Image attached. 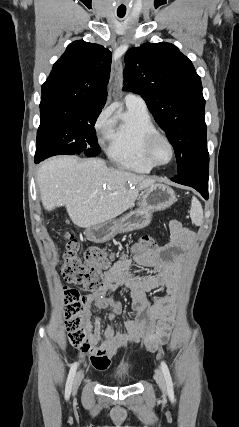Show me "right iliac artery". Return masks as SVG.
I'll use <instances>...</instances> for the list:
<instances>
[{"label":"right iliac artery","instance_id":"1","mask_svg":"<svg viewBox=\"0 0 239 427\" xmlns=\"http://www.w3.org/2000/svg\"><path fill=\"white\" fill-rule=\"evenodd\" d=\"M77 367H78V363L75 362L71 366V369L69 371L67 382H66V387H65V398L66 399H68L70 397L71 390H72L73 379H74Z\"/></svg>","mask_w":239,"mask_h":427}]
</instances>
